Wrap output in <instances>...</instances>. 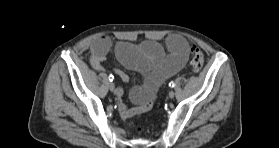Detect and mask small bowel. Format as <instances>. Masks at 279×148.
<instances>
[{
	"label": "small bowel",
	"mask_w": 279,
	"mask_h": 148,
	"mask_svg": "<svg viewBox=\"0 0 279 148\" xmlns=\"http://www.w3.org/2000/svg\"><path fill=\"white\" fill-rule=\"evenodd\" d=\"M166 46L168 54H165L159 43L153 41L139 46L120 42L115 46L119 61L126 68L138 71L144 76L143 84L131 88L129 92L131 101L136 104L135 107L128 108L118 101L122 118H129L148 110L161 84L178 73L187 63L189 45L184 37L177 34L169 35ZM112 48V41L106 36L97 37L92 41L90 63L95 70L104 71L103 62ZM114 72L123 82L128 81V75L124 71L115 69ZM119 94L120 91L117 92V95Z\"/></svg>",
	"instance_id": "c3829d8e"
}]
</instances>
